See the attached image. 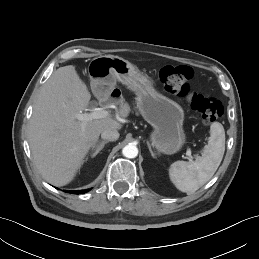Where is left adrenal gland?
Instances as JSON below:
<instances>
[{"label":"left adrenal gland","instance_id":"obj_1","mask_svg":"<svg viewBox=\"0 0 259 259\" xmlns=\"http://www.w3.org/2000/svg\"><path fill=\"white\" fill-rule=\"evenodd\" d=\"M147 145H148L149 151H150V153H151V156H152L153 158H156L155 154L153 153V151H152V149H151V146H150L149 142H147Z\"/></svg>","mask_w":259,"mask_h":259}]
</instances>
